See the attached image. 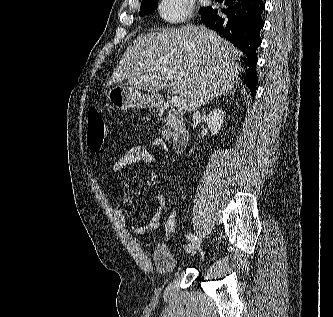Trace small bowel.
I'll use <instances>...</instances> for the list:
<instances>
[{
    "label": "small bowel",
    "instance_id": "small-bowel-1",
    "mask_svg": "<svg viewBox=\"0 0 333 317\" xmlns=\"http://www.w3.org/2000/svg\"><path fill=\"white\" fill-rule=\"evenodd\" d=\"M155 160V156L150 153L145 146L135 145L127 148L125 152L115 160L112 165V171L117 173L124 167L134 164H152ZM171 208H173V200L170 194L157 195L153 212L148 222L142 226L131 227V230L138 235H143L158 229L162 211L166 210L167 212ZM119 214L121 221L125 224L123 215L120 212Z\"/></svg>",
    "mask_w": 333,
    "mask_h": 317
}]
</instances>
